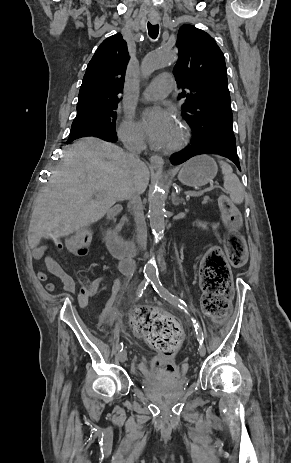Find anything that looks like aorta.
Returning a JSON list of instances; mask_svg holds the SVG:
<instances>
[{"label": "aorta", "mask_w": 291, "mask_h": 463, "mask_svg": "<svg viewBox=\"0 0 291 463\" xmlns=\"http://www.w3.org/2000/svg\"><path fill=\"white\" fill-rule=\"evenodd\" d=\"M175 59L176 53L173 50L161 49L149 54L142 62L141 72L143 77H147L154 71L173 63ZM165 199L163 184L155 186L149 196V219L153 234L159 239L163 237L165 229ZM144 274L147 278H153L157 275V268L152 262L145 265Z\"/></svg>", "instance_id": "1"}]
</instances>
